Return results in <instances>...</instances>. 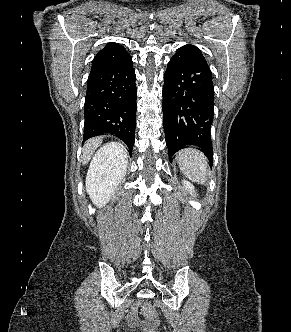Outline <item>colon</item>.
<instances>
[{"instance_id":"obj_1","label":"colon","mask_w":291,"mask_h":332,"mask_svg":"<svg viewBox=\"0 0 291 332\" xmlns=\"http://www.w3.org/2000/svg\"><path fill=\"white\" fill-rule=\"evenodd\" d=\"M142 312L148 318L147 332H158L156 329V311L154 307L149 303H144L142 305Z\"/></svg>"}]
</instances>
